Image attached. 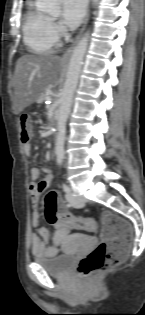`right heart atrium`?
Listing matches in <instances>:
<instances>
[{"label":"right heart atrium","instance_id":"right-heart-atrium-1","mask_svg":"<svg viewBox=\"0 0 145 315\" xmlns=\"http://www.w3.org/2000/svg\"><path fill=\"white\" fill-rule=\"evenodd\" d=\"M54 28H55L56 30H58V31H60V30H61L60 26H59V25H57V24H55V25H54Z\"/></svg>","mask_w":145,"mask_h":315}]
</instances>
